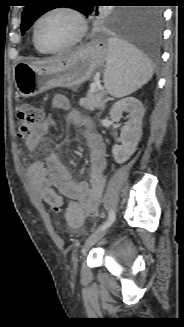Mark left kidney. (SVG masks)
I'll list each match as a JSON object with an SVG mask.
<instances>
[{
    "label": "left kidney",
    "instance_id": "5707ae66",
    "mask_svg": "<svg viewBox=\"0 0 184 327\" xmlns=\"http://www.w3.org/2000/svg\"><path fill=\"white\" fill-rule=\"evenodd\" d=\"M124 112H128L129 120L121 129V145H114L112 153L118 164L126 162L136 151L137 145L142 136V118L144 107L134 97H126L117 101L110 110V117L113 121H119Z\"/></svg>",
    "mask_w": 184,
    "mask_h": 327
}]
</instances>
